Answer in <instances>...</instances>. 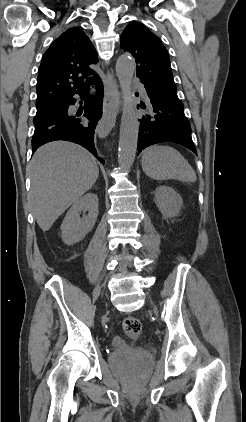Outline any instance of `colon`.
<instances>
[{
    "instance_id": "colon-1",
    "label": "colon",
    "mask_w": 246,
    "mask_h": 422,
    "mask_svg": "<svg viewBox=\"0 0 246 422\" xmlns=\"http://www.w3.org/2000/svg\"><path fill=\"white\" fill-rule=\"evenodd\" d=\"M122 328L124 333L133 340H137L142 333L141 321L133 316L124 318Z\"/></svg>"
}]
</instances>
